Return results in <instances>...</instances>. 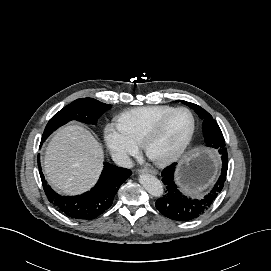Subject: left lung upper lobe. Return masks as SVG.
<instances>
[{
  "mask_svg": "<svg viewBox=\"0 0 271 271\" xmlns=\"http://www.w3.org/2000/svg\"><path fill=\"white\" fill-rule=\"evenodd\" d=\"M182 103L192 108L198 116L203 120L202 129L205 142L208 147L217 150L225 148L223 134L212 116L200 106L181 100Z\"/></svg>",
  "mask_w": 271,
  "mask_h": 271,
  "instance_id": "1",
  "label": "left lung upper lobe"
}]
</instances>
